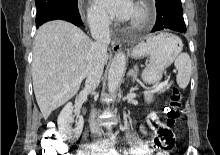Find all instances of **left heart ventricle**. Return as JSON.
Returning <instances> with one entry per match:
<instances>
[{"instance_id":"1","label":"left heart ventricle","mask_w":220,"mask_h":155,"mask_svg":"<svg viewBox=\"0 0 220 155\" xmlns=\"http://www.w3.org/2000/svg\"><path fill=\"white\" fill-rule=\"evenodd\" d=\"M138 16H139V11L136 9V7H134L130 19H135V18H137Z\"/></svg>"}]
</instances>
